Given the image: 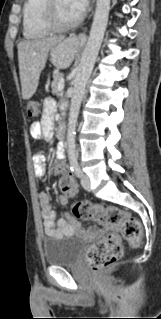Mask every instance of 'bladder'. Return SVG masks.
<instances>
[{
	"instance_id": "1",
	"label": "bladder",
	"mask_w": 161,
	"mask_h": 319,
	"mask_svg": "<svg viewBox=\"0 0 161 319\" xmlns=\"http://www.w3.org/2000/svg\"><path fill=\"white\" fill-rule=\"evenodd\" d=\"M85 243L77 236H46L43 242L44 263L50 266L74 265L83 254Z\"/></svg>"
}]
</instances>
